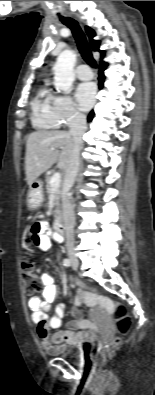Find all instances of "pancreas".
<instances>
[{"mask_svg":"<svg viewBox=\"0 0 155 395\" xmlns=\"http://www.w3.org/2000/svg\"><path fill=\"white\" fill-rule=\"evenodd\" d=\"M52 176L46 175V192L50 196L53 193V189L51 187L50 181H51ZM62 196V190L61 187L59 186L55 191H54V206L56 207V212H58L59 207H60V199Z\"/></svg>","mask_w":155,"mask_h":395,"instance_id":"1","label":"pancreas"}]
</instances>
